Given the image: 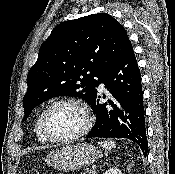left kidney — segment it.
<instances>
[{"mask_svg": "<svg viewBox=\"0 0 175 174\" xmlns=\"http://www.w3.org/2000/svg\"><path fill=\"white\" fill-rule=\"evenodd\" d=\"M103 174H122V173L117 168H110L107 171H105Z\"/></svg>", "mask_w": 175, "mask_h": 174, "instance_id": "5707ae66", "label": "left kidney"}]
</instances>
